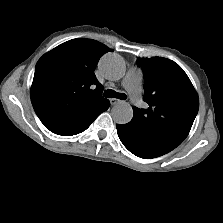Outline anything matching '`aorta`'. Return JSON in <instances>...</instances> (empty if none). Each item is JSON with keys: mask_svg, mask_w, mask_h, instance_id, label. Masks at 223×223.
<instances>
[{"mask_svg": "<svg viewBox=\"0 0 223 223\" xmlns=\"http://www.w3.org/2000/svg\"><path fill=\"white\" fill-rule=\"evenodd\" d=\"M104 76L109 80H119L125 74V64L121 57L108 53L104 55L99 63ZM111 116L117 124H127L132 120L133 109L127 102H119L113 106Z\"/></svg>", "mask_w": 223, "mask_h": 223, "instance_id": "762f6f07", "label": "aorta"}]
</instances>
